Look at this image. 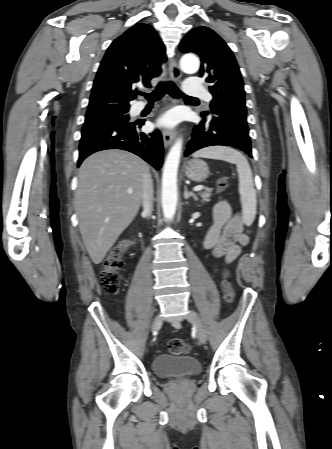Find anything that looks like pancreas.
<instances>
[{
    "label": "pancreas",
    "mask_w": 332,
    "mask_h": 449,
    "mask_svg": "<svg viewBox=\"0 0 332 449\" xmlns=\"http://www.w3.org/2000/svg\"><path fill=\"white\" fill-rule=\"evenodd\" d=\"M211 192H212V189H206L204 192H201V193H199V195L202 197V201H205V202H209L210 201V196H211Z\"/></svg>",
    "instance_id": "cf45deb5"
}]
</instances>
